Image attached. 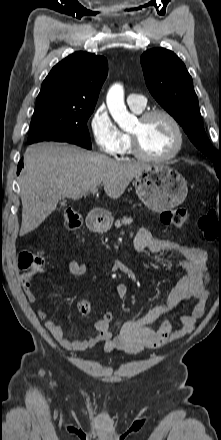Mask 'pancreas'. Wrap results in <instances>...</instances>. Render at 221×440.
Instances as JSON below:
<instances>
[{
  "instance_id": "obj_1",
  "label": "pancreas",
  "mask_w": 221,
  "mask_h": 440,
  "mask_svg": "<svg viewBox=\"0 0 221 440\" xmlns=\"http://www.w3.org/2000/svg\"><path fill=\"white\" fill-rule=\"evenodd\" d=\"M133 222V219L132 218H128V217H123V219L120 221V220H117L116 222H115V227L116 228H119V227H121L122 225H130L131 223Z\"/></svg>"
}]
</instances>
